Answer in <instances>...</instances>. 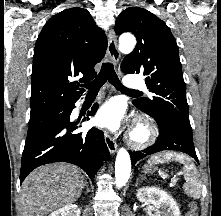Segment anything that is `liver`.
<instances>
[{
    "instance_id": "liver-1",
    "label": "liver",
    "mask_w": 221,
    "mask_h": 216,
    "mask_svg": "<svg viewBox=\"0 0 221 216\" xmlns=\"http://www.w3.org/2000/svg\"><path fill=\"white\" fill-rule=\"evenodd\" d=\"M84 188L80 169L66 163H52L32 171L22 184V216H46L75 203Z\"/></svg>"
}]
</instances>
